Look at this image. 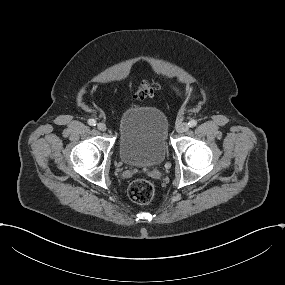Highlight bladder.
Segmentation results:
<instances>
[{"instance_id":"obj_1","label":"bladder","mask_w":285,"mask_h":285,"mask_svg":"<svg viewBox=\"0 0 285 285\" xmlns=\"http://www.w3.org/2000/svg\"><path fill=\"white\" fill-rule=\"evenodd\" d=\"M120 160L134 167L160 165L167 153L168 121L156 108H129L118 120Z\"/></svg>"}]
</instances>
